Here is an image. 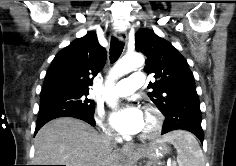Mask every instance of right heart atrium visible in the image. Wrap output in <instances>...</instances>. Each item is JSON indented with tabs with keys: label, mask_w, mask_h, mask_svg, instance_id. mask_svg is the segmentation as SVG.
I'll return each mask as SVG.
<instances>
[{
	"label": "right heart atrium",
	"mask_w": 236,
	"mask_h": 166,
	"mask_svg": "<svg viewBox=\"0 0 236 166\" xmlns=\"http://www.w3.org/2000/svg\"><path fill=\"white\" fill-rule=\"evenodd\" d=\"M96 124L98 125V127L100 128V130L109 138H113L114 137V133L113 131L110 129V127L107 125L106 121H105V115L103 110L101 109H97L95 111V115H94Z\"/></svg>",
	"instance_id": "right-heart-atrium-1"
}]
</instances>
